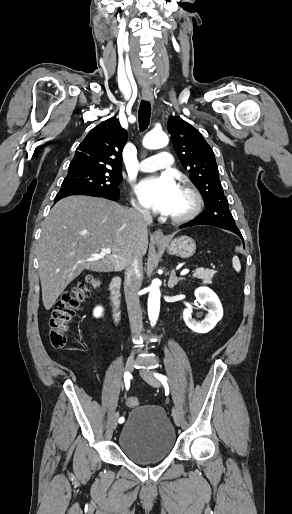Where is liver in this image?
<instances>
[{"mask_svg": "<svg viewBox=\"0 0 292 514\" xmlns=\"http://www.w3.org/2000/svg\"><path fill=\"white\" fill-rule=\"evenodd\" d=\"M140 214L116 202L90 196H69L52 208L41 226L39 276L45 310L83 270L121 272L133 254H146L147 232H140ZM111 248V254H100ZM99 256L98 262H92Z\"/></svg>", "mask_w": 292, "mask_h": 514, "instance_id": "6515ba94", "label": "liver"}]
</instances>
